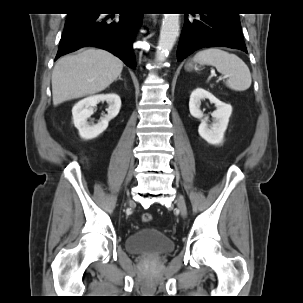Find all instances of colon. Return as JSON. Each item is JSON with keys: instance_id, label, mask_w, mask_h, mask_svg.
I'll return each instance as SVG.
<instances>
[{"instance_id": "colon-1", "label": "colon", "mask_w": 303, "mask_h": 303, "mask_svg": "<svg viewBox=\"0 0 303 303\" xmlns=\"http://www.w3.org/2000/svg\"><path fill=\"white\" fill-rule=\"evenodd\" d=\"M141 220L144 223H148L152 221V215L150 213H143L141 216Z\"/></svg>"}]
</instances>
